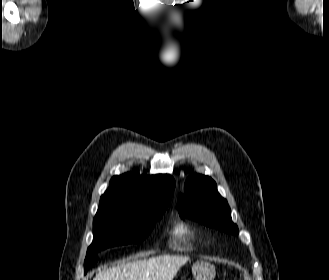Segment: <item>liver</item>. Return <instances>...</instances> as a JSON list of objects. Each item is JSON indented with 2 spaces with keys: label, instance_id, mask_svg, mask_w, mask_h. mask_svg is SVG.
Listing matches in <instances>:
<instances>
[{
  "label": "liver",
  "instance_id": "1",
  "mask_svg": "<svg viewBox=\"0 0 329 280\" xmlns=\"http://www.w3.org/2000/svg\"><path fill=\"white\" fill-rule=\"evenodd\" d=\"M122 261L99 272L93 280H173L181 266L189 261L187 256L162 255L149 259Z\"/></svg>",
  "mask_w": 329,
  "mask_h": 280
}]
</instances>
